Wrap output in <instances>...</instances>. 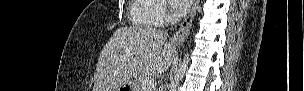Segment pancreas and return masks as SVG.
<instances>
[{"label":"pancreas","instance_id":"pancreas-1","mask_svg":"<svg viewBox=\"0 0 304 91\" xmlns=\"http://www.w3.org/2000/svg\"><path fill=\"white\" fill-rule=\"evenodd\" d=\"M146 80H150L149 77H143V76H139L136 80V85H135V90L136 91H143L142 90V86H143V83L146 81Z\"/></svg>","mask_w":304,"mask_h":91}]
</instances>
